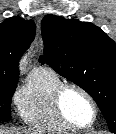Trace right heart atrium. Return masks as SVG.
Instances as JSON below:
<instances>
[{"label": "right heart atrium", "mask_w": 116, "mask_h": 134, "mask_svg": "<svg viewBox=\"0 0 116 134\" xmlns=\"http://www.w3.org/2000/svg\"><path fill=\"white\" fill-rule=\"evenodd\" d=\"M19 93H20V91L16 94V98H17V96H18Z\"/></svg>", "instance_id": "right-heart-atrium-1"}]
</instances>
